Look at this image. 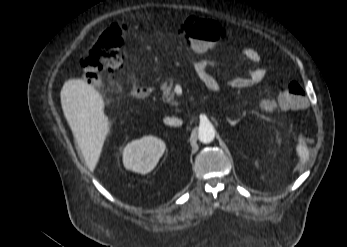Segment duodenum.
Here are the masks:
<instances>
[{
	"instance_id": "duodenum-1",
	"label": "duodenum",
	"mask_w": 347,
	"mask_h": 247,
	"mask_svg": "<svg viewBox=\"0 0 347 247\" xmlns=\"http://www.w3.org/2000/svg\"><path fill=\"white\" fill-rule=\"evenodd\" d=\"M151 87L147 85H135L132 90V96L136 98H145L151 93Z\"/></svg>"
}]
</instances>
